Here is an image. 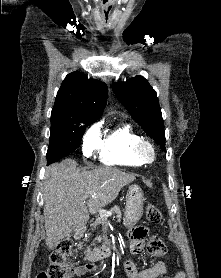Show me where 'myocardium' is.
<instances>
[{"mask_svg": "<svg viewBox=\"0 0 221 278\" xmlns=\"http://www.w3.org/2000/svg\"><path fill=\"white\" fill-rule=\"evenodd\" d=\"M133 154L141 163L149 164L156 159V148L148 139L140 138L133 146Z\"/></svg>", "mask_w": 221, "mask_h": 278, "instance_id": "obj_1", "label": "myocardium"}]
</instances>
